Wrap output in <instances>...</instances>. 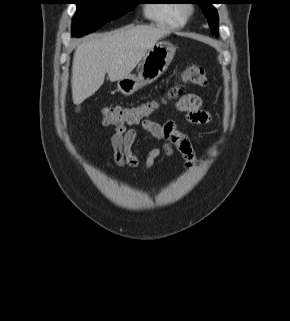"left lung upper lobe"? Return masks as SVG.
<instances>
[{"mask_svg":"<svg viewBox=\"0 0 290 321\" xmlns=\"http://www.w3.org/2000/svg\"><path fill=\"white\" fill-rule=\"evenodd\" d=\"M199 5L203 8L204 14L207 16L211 32L218 34V15L214 7L211 6L213 0H198Z\"/></svg>","mask_w":290,"mask_h":321,"instance_id":"1","label":"left lung upper lobe"}]
</instances>
